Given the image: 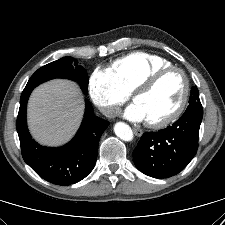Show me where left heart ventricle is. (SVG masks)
I'll list each match as a JSON object with an SVG mask.
<instances>
[{"instance_id": "obj_1", "label": "left heart ventricle", "mask_w": 225, "mask_h": 225, "mask_svg": "<svg viewBox=\"0 0 225 225\" xmlns=\"http://www.w3.org/2000/svg\"><path fill=\"white\" fill-rule=\"evenodd\" d=\"M182 93V77L178 72L172 71L160 78L148 92L137 96L134 103L141 108L146 121H156L176 108Z\"/></svg>"}]
</instances>
